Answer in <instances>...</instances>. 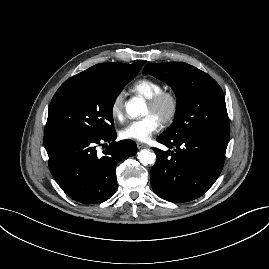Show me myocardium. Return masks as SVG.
Wrapping results in <instances>:
<instances>
[{
	"instance_id": "f54148a6",
	"label": "myocardium",
	"mask_w": 269,
	"mask_h": 269,
	"mask_svg": "<svg viewBox=\"0 0 269 269\" xmlns=\"http://www.w3.org/2000/svg\"><path fill=\"white\" fill-rule=\"evenodd\" d=\"M147 105L152 111L161 112L160 121L164 126H168L178 114L180 100L175 91L162 90L148 99Z\"/></svg>"
}]
</instances>
